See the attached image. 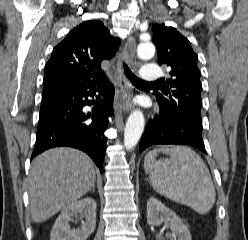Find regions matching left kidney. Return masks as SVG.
Instances as JSON below:
<instances>
[{
  "label": "left kidney",
  "mask_w": 248,
  "mask_h": 240,
  "mask_svg": "<svg viewBox=\"0 0 248 240\" xmlns=\"http://www.w3.org/2000/svg\"><path fill=\"white\" fill-rule=\"evenodd\" d=\"M162 222H169L175 240H191L190 231L176 213L152 197L147 201V223L160 225Z\"/></svg>",
  "instance_id": "obj_1"
}]
</instances>
